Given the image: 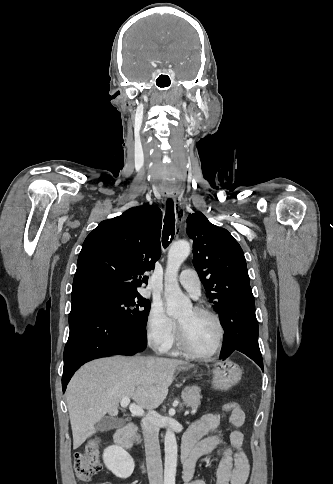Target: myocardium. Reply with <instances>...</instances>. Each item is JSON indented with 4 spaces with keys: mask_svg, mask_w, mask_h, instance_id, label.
Returning a JSON list of instances; mask_svg holds the SVG:
<instances>
[{
    "mask_svg": "<svg viewBox=\"0 0 333 484\" xmlns=\"http://www.w3.org/2000/svg\"><path fill=\"white\" fill-rule=\"evenodd\" d=\"M192 309L195 313L207 315L215 321L217 328H218V338H217L216 344L210 352H207V353L198 352L197 350H195L191 346V344H190V342H189V340L186 336V333L184 331V328L177 321V336H178L179 346L183 351H185L188 355H190L192 357L199 358V359L213 358L221 350L222 345H223V341H224L225 329H224V325L222 323V320L217 313H215L214 311H212V310H210L206 307L195 306Z\"/></svg>",
    "mask_w": 333,
    "mask_h": 484,
    "instance_id": "1",
    "label": "myocardium"
}]
</instances>
